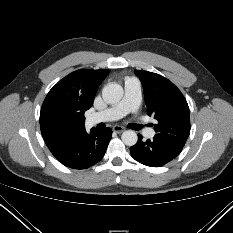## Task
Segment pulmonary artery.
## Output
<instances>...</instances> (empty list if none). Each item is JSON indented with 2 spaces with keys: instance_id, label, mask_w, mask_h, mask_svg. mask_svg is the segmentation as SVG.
Instances as JSON below:
<instances>
[{
  "instance_id": "e3ab8cb5",
  "label": "pulmonary artery",
  "mask_w": 233,
  "mask_h": 233,
  "mask_svg": "<svg viewBox=\"0 0 233 233\" xmlns=\"http://www.w3.org/2000/svg\"><path fill=\"white\" fill-rule=\"evenodd\" d=\"M140 100L141 87L139 79L127 77L124 82V95L121 101L106 110L92 114L87 122L90 125H95L100 122L118 120L128 113H135ZM144 134L151 138L155 132L152 128L145 127Z\"/></svg>"
}]
</instances>
